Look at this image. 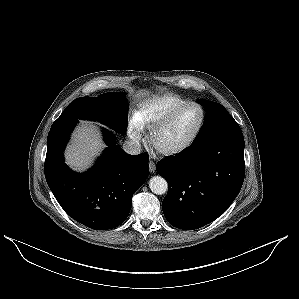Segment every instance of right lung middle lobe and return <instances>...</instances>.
Returning a JSON list of instances; mask_svg holds the SVG:
<instances>
[{"instance_id": "obj_1", "label": "right lung middle lobe", "mask_w": 299, "mask_h": 299, "mask_svg": "<svg viewBox=\"0 0 299 299\" xmlns=\"http://www.w3.org/2000/svg\"><path fill=\"white\" fill-rule=\"evenodd\" d=\"M124 92H108L98 97H80L71 102L59 118L99 121L124 134L127 130L128 101Z\"/></svg>"}]
</instances>
